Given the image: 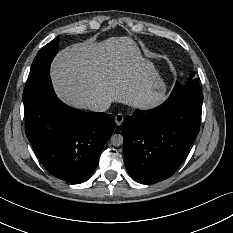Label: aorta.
I'll return each instance as SVG.
<instances>
[{
	"mask_svg": "<svg viewBox=\"0 0 233 233\" xmlns=\"http://www.w3.org/2000/svg\"><path fill=\"white\" fill-rule=\"evenodd\" d=\"M110 141L113 146H121L123 144V136L120 134H114L111 136Z\"/></svg>",
	"mask_w": 233,
	"mask_h": 233,
	"instance_id": "aorta-1",
	"label": "aorta"
}]
</instances>
